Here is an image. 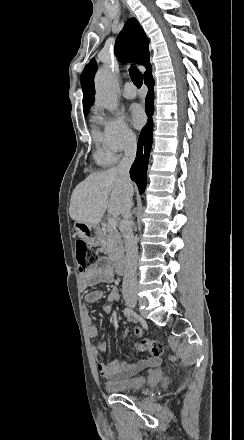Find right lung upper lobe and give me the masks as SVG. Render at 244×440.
<instances>
[{
  "label": "right lung upper lobe",
  "mask_w": 244,
  "mask_h": 440,
  "mask_svg": "<svg viewBox=\"0 0 244 440\" xmlns=\"http://www.w3.org/2000/svg\"><path fill=\"white\" fill-rule=\"evenodd\" d=\"M148 45L149 40L141 25L135 18H130L117 37L114 52L121 62L132 61L139 65H144L147 70H150ZM96 69V62L92 59L84 68L80 78L83 90L84 112L89 111L94 102V76Z\"/></svg>",
  "instance_id": "1"
}]
</instances>
